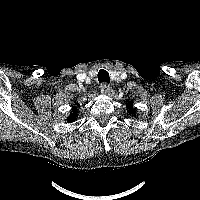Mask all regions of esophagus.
<instances>
[{
    "label": "esophagus",
    "mask_w": 200,
    "mask_h": 200,
    "mask_svg": "<svg viewBox=\"0 0 200 200\" xmlns=\"http://www.w3.org/2000/svg\"><path fill=\"white\" fill-rule=\"evenodd\" d=\"M99 88L101 93L103 94H108L110 92V86L107 83H101Z\"/></svg>",
    "instance_id": "34e87169"
}]
</instances>
